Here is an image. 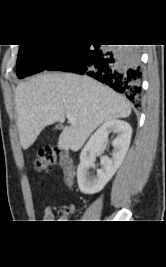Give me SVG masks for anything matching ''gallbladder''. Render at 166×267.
Segmentation results:
<instances>
[{
    "mask_svg": "<svg viewBox=\"0 0 166 267\" xmlns=\"http://www.w3.org/2000/svg\"><path fill=\"white\" fill-rule=\"evenodd\" d=\"M55 129L62 130V129H63V126H61V125H57V126L55 127Z\"/></svg>",
    "mask_w": 166,
    "mask_h": 267,
    "instance_id": "gallbladder-1",
    "label": "gallbladder"
}]
</instances>
